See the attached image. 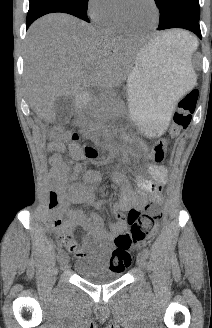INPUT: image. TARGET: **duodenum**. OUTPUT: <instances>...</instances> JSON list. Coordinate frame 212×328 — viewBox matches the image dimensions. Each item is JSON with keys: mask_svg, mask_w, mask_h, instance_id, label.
<instances>
[{"mask_svg": "<svg viewBox=\"0 0 212 328\" xmlns=\"http://www.w3.org/2000/svg\"><path fill=\"white\" fill-rule=\"evenodd\" d=\"M87 98H88V95H84L77 103H76V105H75V108H74V112L76 113V114H78L80 111H81V108H82V105H83V102L85 101V100H87Z\"/></svg>", "mask_w": 212, "mask_h": 328, "instance_id": "duodenum-1", "label": "duodenum"}]
</instances>
